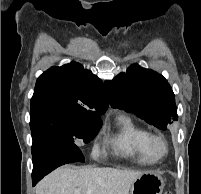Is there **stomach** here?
Wrapping results in <instances>:
<instances>
[{
  "label": "stomach",
  "mask_w": 201,
  "mask_h": 194,
  "mask_svg": "<svg viewBox=\"0 0 201 194\" xmlns=\"http://www.w3.org/2000/svg\"><path fill=\"white\" fill-rule=\"evenodd\" d=\"M164 185L161 176L145 172L133 181L130 194H162Z\"/></svg>",
  "instance_id": "0dacf381"
}]
</instances>
